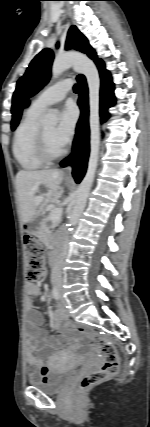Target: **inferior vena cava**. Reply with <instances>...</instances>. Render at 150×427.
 Here are the masks:
<instances>
[{"mask_svg":"<svg viewBox=\"0 0 150 427\" xmlns=\"http://www.w3.org/2000/svg\"><path fill=\"white\" fill-rule=\"evenodd\" d=\"M66 248H67V241L64 243V249L60 253L52 271H51V282L56 285H60L62 283V267L64 264V260L66 257Z\"/></svg>","mask_w":150,"mask_h":427,"instance_id":"602c4592","label":"inferior vena cava"}]
</instances>
